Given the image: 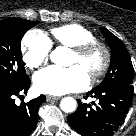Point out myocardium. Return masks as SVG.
<instances>
[{
  "mask_svg": "<svg viewBox=\"0 0 136 136\" xmlns=\"http://www.w3.org/2000/svg\"><path fill=\"white\" fill-rule=\"evenodd\" d=\"M99 49L103 54V60L98 68L93 70L89 74V79L91 82H96L101 77H103L108 71L111 64V51L107 44L99 40H91L84 43H81L72 48V52L76 54L79 58L85 57L91 51Z\"/></svg>",
  "mask_w": 136,
  "mask_h": 136,
  "instance_id": "f54148a6",
  "label": "myocardium"
}]
</instances>
